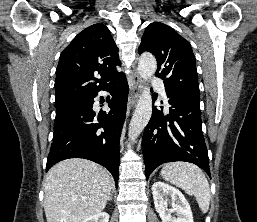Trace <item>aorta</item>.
<instances>
[{
    "label": "aorta",
    "mask_w": 257,
    "mask_h": 222,
    "mask_svg": "<svg viewBox=\"0 0 257 222\" xmlns=\"http://www.w3.org/2000/svg\"><path fill=\"white\" fill-rule=\"evenodd\" d=\"M157 62L155 57L150 53H143L138 62V73L144 81H148L155 73ZM152 115V97L150 89L144 87L141 93L135 112L132 116L128 137L134 141L144 130Z\"/></svg>",
    "instance_id": "obj_1"
}]
</instances>
